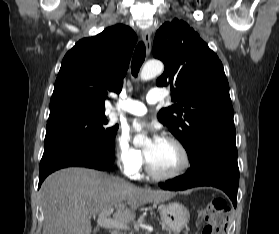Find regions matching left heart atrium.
<instances>
[{"label": "left heart atrium", "instance_id": "obj_1", "mask_svg": "<svg viewBox=\"0 0 279 234\" xmlns=\"http://www.w3.org/2000/svg\"><path fill=\"white\" fill-rule=\"evenodd\" d=\"M133 128L135 131L140 132L144 129H147L151 133L150 143L152 146L158 144L162 138L158 134L157 127L154 124L146 123V122H135L133 124Z\"/></svg>", "mask_w": 279, "mask_h": 234}]
</instances>
